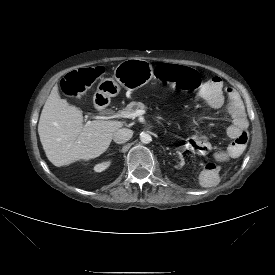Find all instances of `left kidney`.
<instances>
[{
  "label": "left kidney",
  "mask_w": 275,
  "mask_h": 275,
  "mask_svg": "<svg viewBox=\"0 0 275 275\" xmlns=\"http://www.w3.org/2000/svg\"><path fill=\"white\" fill-rule=\"evenodd\" d=\"M172 160L174 161V166L177 169H180L185 164L183 155L180 154L179 152H174L172 154Z\"/></svg>",
  "instance_id": "1"
}]
</instances>
